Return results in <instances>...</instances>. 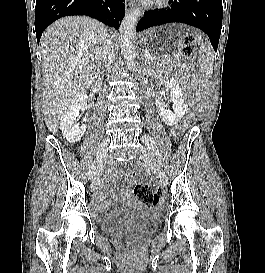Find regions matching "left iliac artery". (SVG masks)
Wrapping results in <instances>:
<instances>
[{
  "label": "left iliac artery",
  "mask_w": 265,
  "mask_h": 273,
  "mask_svg": "<svg viewBox=\"0 0 265 273\" xmlns=\"http://www.w3.org/2000/svg\"><path fill=\"white\" fill-rule=\"evenodd\" d=\"M142 140L148 146V148L152 152V154L155 153L157 155L160 164L163 166V164H162V155L158 151L157 146H155L154 141L152 139H148L146 137H143Z\"/></svg>",
  "instance_id": "44dca946"
}]
</instances>
